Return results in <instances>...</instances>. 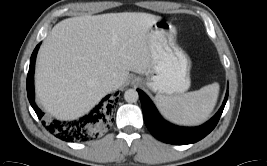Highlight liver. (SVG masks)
I'll return each mask as SVG.
<instances>
[{"instance_id": "liver-1", "label": "liver", "mask_w": 267, "mask_h": 166, "mask_svg": "<svg viewBox=\"0 0 267 166\" xmlns=\"http://www.w3.org/2000/svg\"><path fill=\"white\" fill-rule=\"evenodd\" d=\"M160 20L148 13L122 12L73 17L56 24L37 57L39 103L58 119H75L110 92L105 82L117 79L122 86L129 71L147 74L149 32Z\"/></svg>"}]
</instances>
